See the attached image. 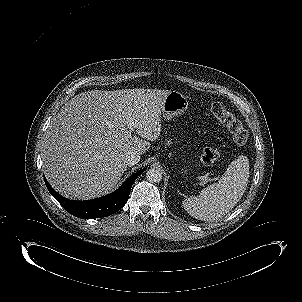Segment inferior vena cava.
<instances>
[{
  "mask_svg": "<svg viewBox=\"0 0 302 302\" xmlns=\"http://www.w3.org/2000/svg\"><path fill=\"white\" fill-rule=\"evenodd\" d=\"M140 160V155L137 152H129L125 157V163L129 167L134 166Z\"/></svg>",
  "mask_w": 302,
  "mask_h": 302,
  "instance_id": "inferior-vena-cava-1",
  "label": "inferior vena cava"
}]
</instances>
